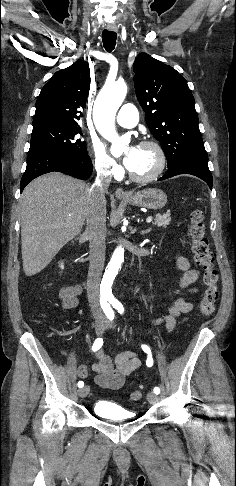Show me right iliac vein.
<instances>
[{
  "label": "right iliac vein",
  "mask_w": 236,
  "mask_h": 486,
  "mask_svg": "<svg viewBox=\"0 0 236 486\" xmlns=\"http://www.w3.org/2000/svg\"><path fill=\"white\" fill-rule=\"evenodd\" d=\"M106 320L105 319H97L95 322V330L97 335H101L103 331L105 330L106 327ZM89 386H84L83 388L78 390V394L80 397L84 398L88 395L89 393Z\"/></svg>",
  "instance_id": "63e3f726"
}]
</instances>
